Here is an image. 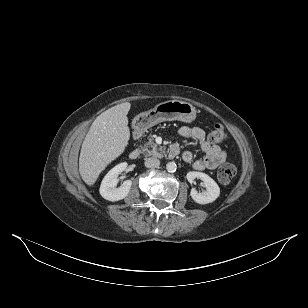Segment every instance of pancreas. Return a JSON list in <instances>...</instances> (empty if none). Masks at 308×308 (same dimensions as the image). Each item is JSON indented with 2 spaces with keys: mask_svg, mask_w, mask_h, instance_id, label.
Masks as SVG:
<instances>
[{
  "mask_svg": "<svg viewBox=\"0 0 308 308\" xmlns=\"http://www.w3.org/2000/svg\"><path fill=\"white\" fill-rule=\"evenodd\" d=\"M141 152L144 156H154V157H163L164 148L159 147L156 143L149 139L147 143L141 146Z\"/></svg>",
  "mask_w": 308,
  "mask_h": 308,
  "instance_id": "1",
  "label": "pancreas"
}]
</instances>
